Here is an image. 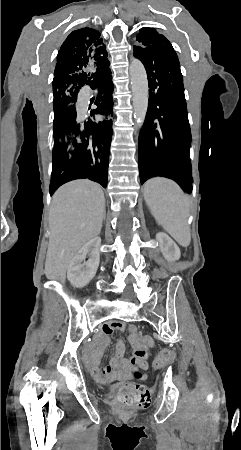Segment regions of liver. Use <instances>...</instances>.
Instances as JSON below:
<instances>
[{"mask_svg": "<svg viewBox=\"0 0 241 450\" xmlns=\"http://www.w3.org/2000/svg\"><path fill=\"white\" fill-rule=\"evenodd\" d=\"M104 212L103 190L95 182L74 180L56 190L49 212L48 280L64 282L73 256L100 234Z\"/></svg>", "mask_w": 241, "mask_h": 450, "instance_id": "1", "label": "liver"}]
</instances>
